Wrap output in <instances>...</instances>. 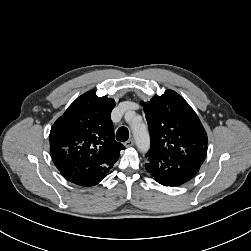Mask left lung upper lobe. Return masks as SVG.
<instances>
[{"label": "left lung upper lobe", "mask_w": 251, "mask_h": 251, "mask_svg": "<svg viewBox=\"0 0 251 251\" xmlns=\"http://www.w3.org/2000/svg\"><path fill=\"white\" fill-rule=\"evenodd\" d=\"M148 123V152L202 164L207 154V134L194 110L175 91L167 90L141 103Z\"/></svg>", "instance_id": "left-lung-upper-lobe-1"}]
</instances>
